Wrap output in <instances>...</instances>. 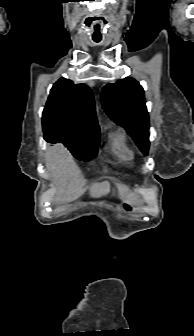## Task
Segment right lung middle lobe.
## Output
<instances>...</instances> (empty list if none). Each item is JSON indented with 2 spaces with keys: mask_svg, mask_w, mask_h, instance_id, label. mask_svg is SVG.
Wrapping results in <instances>:
<instances>
[{
  "mask_svg": "<svg viewBox=\"0 0 194 336\" xmlns=\"http://www.w3.org/2000/svg\"><path fill=\"white\" fill-rule=\"evenodd\" d=\"M63 143L71 153L79 160L89 161L97 154V147L99 145V139H85L80 137H64L54 141L53 143Z\"/></svg>",
  "mask_w": 194,
  "mask_h": 336,
  "instance_id": "right-lung-middle-lobe-1",
  "label": "right lung middle lobe"
}]
</instances>
